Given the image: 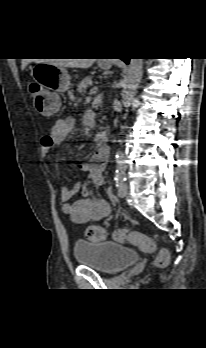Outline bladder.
I'll return each mask as SVG.
<instances>
[{"label": "bladder", "instance_id": "1", "mask_svg": "<svg viewBox=\"0 0 206 348\" xmlns=\"http://www.w3.org/2000/svg\"><path fill=\"white\" fill-rule=\"evenodd\" d=\"M74 255L80 266L105 274L120 272L140 259L135 249L111 241H77Z\"/></svg>", "mask_w": 206, "mask_h": 348}]
</instances>
